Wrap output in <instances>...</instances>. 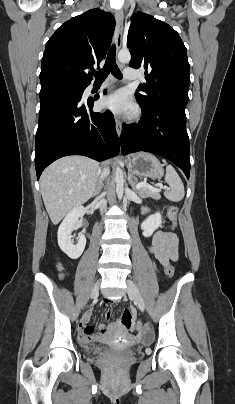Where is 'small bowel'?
Returning <instances> with one entry per match:
<instances>
[{"label":"small bowel","mask_w":235,"mask_h":404,"mask_svg":"<svg viewBox=\"0 0 235 404\" xmlns=\"http://www.w3.org/2000/svg\"><path fill=\"white\" fill-rule=\"evenodd\" d=\"M149 252L154 256L157 263L163 267L169 265L178 259V239L170 232H157L152 240V245L148 248ZM105 303L103 304V306ZM131 311V310H130ZM112 311H106V318L110 319ZM91 313L88 312L83 316L79 324V332L82 343L91 341L110 343L121 333V326L117 322L100 324L99 332L94 333L93 325L88 323Z\"/></svg>","instance_id":"obj_1"}]
</instances>
